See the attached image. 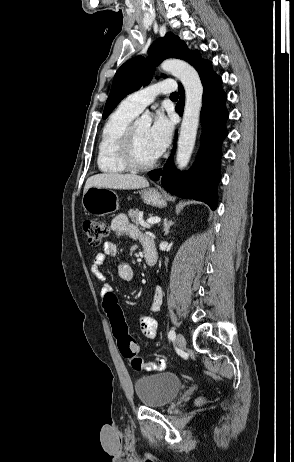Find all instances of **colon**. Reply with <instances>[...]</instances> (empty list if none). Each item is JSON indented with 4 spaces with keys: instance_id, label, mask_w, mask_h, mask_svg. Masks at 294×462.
Wrapping results in <instances>:
<instances>
[{
    "instance_id": "5ec220e1",
    "label": "colon",
    "mask_w": 294,
    "mask_h": 462,
    "mask_svg": "<svg viewBox=\"0 0 294 462\" xmlns=\"http://www.w3.org/2000/svg\"><path fill=\"white\" fill-rule=\"evenodd\" d=\"M82 228L87 242L91 246H99L109 232L108 224L103 220L86 219L83 221ZM102 305L109 318L120 352L133 369L141 370L143 360L137 353L136 342L129 334L128 326L116 296L113 293L107 294L103 298Z\"/></svg>"
}]
</instances>
